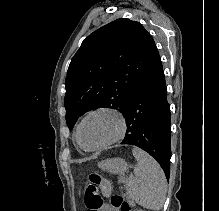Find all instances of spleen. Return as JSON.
I'll list each match as a JSON object with an SVG mask.
<instances>
[{
    "mask_svg": "<svg viewBox=\"0 0 219 211\" xmlns=\"http://www.w3.org/2000/svg\"><path fill=\"white\" fill-rule=\"evenodd\" d=\"M133 155L137 159V165L134 167L136 177L126 179L127 193L139 205L158 211L165 201L167 191L164 171L159 163L140 147H133Z\"/></svg>",
    "mask_w": 219,
    "mask_h": 211,
    "instance_id": "3e777b00",
    "label": "spleen"
}]
</instances>
